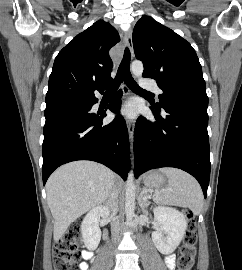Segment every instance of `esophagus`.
Segmentation results:
<instances>
[{
  "label": "esophagus",
  "instance_id": "esophagus-1",
  "mask_svg": "<svg viewBox=\"0 0 242 270\" xmlns=\"http://www.w3.org/2000/svg\"><path fill=\"white\" fill-rule=\"evenodd\" d=\"M124 40H125L126 45L129 48V50H130L131 58H132L134 53H133V42H132V31L131 30H129L126 33ZM122 88H123V92L125 95H128L130 93L128 87L125 84H123ZM127 129H128V133H129V138L132 142L133 134H134V123H132L131 121H127Z\"/></svg>",
  "mask_w": 242,
  "mask_h": 270
}]
</instances>
